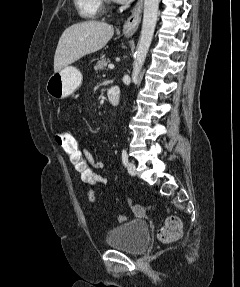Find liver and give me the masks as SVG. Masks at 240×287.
<instances>
[{
  "instance_id": "6515ba94",
  "label": "liver",
  "mask_w": 240,
  "mask_h": 287,
  "mask_svg": "<svg viewBox=\"0 0 240 287\" xmlns=\"http://www.w3.org/2000/svg\"><path fill=\"white\" fill-rule=\"evenodd\" d=\"M113 35V26L102 21L89 20L71 25L59 39L54 55V72L102 49Z\"/></svg>"
}]
</instances>
